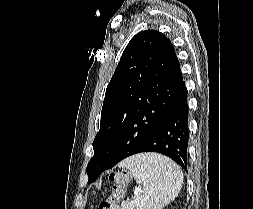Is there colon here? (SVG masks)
Masks as SVG:
<instances>
[{"mask_svg":"<svg viewBox=\"0 0 253 209\" xmlns=\"http://www.w3.org/2000/svg\"><path fill=\"white\" fill-rule=\"evenodd\" d=\"M111 178L114 181L112 194L107 200L99 204L98 209H118L117 203L124 195L130 174L128 172H118L113 174Z\"/></svg>","mask_w":253,"mask_h":209,"instance_id":"5ec220e1","label":"colon"}]
</instances>
